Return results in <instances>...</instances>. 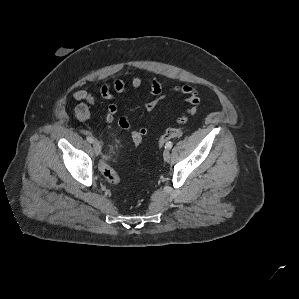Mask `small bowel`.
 I'll list each match as a JSON object with an SVG mask.
<instances>
[{"label": "small bowel", "instance_id": "small-bowel-1", "mask_svg": "<svg viewBox=\"0 0 299 299\" xmlns=\"http://www.w3.org/2000/svg\"><path fill=\"white\" fill-rule=\"evenodd\" d=\"M144 83L149 85V90L152 98L144 103V107L147 111H152L156 108L159 101L165 96V90L162 84L154 78H143L141 76H135L132 78L129 87L132 89L140 88ZM127 89L126 83L117 78L112 84H104L100 89L101 98L104 100H111L113 98V92L124 93ZM170 92L181 93L186 96L188 103L187 107L182 115L178 118L179 123H185L189 116L195 114L200 105V99L196 90L188 85L173 86L169 88ZM74 99L78 101V105L75 108V114L81 121H86L91 117L90 106L95 104V96L86 90H77L74 93ZM117 114V106L113 103L109 104L106 108L104 121L106 123H112ZM118 125L122 130L128 131L130 129V123L126 116H120L118 118ZM144 134L147 133L145 127L139 128Z\"/></svg>", "mask_w": 299, "mask_h": 299}]
</instances>
